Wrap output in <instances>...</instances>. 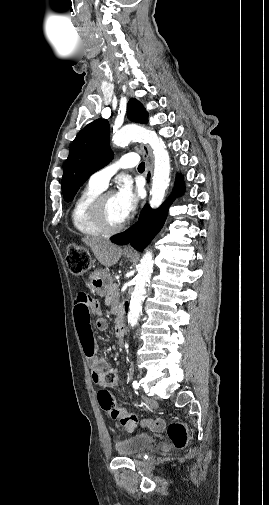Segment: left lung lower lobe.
Returning a JSON list of instances; mask_svg holds the SVG:
<instances>
[{
    "instance_id": "left-lung-lower-lobe-1",
    "label": "left lung lower lobe",
    "mask_w": 269,
    "mask_h": 505,
    "mask_svg": "<svg viewBox=\"0 0 269 505\" xmlns=\"http://www.w3.org/2000/svg\"><path fill=\"white\" fill-rule=\"evenodd\" d=\"M183 188V180L181 177H178L173 195L160 208L152 210L149 205H145L136 225H133L125 232L114 237L111 241L119 245H125L131 242L132 247L139 251H143L162 228L167 217L169 206L175 196L183 192Z\"/></svg>"
}]
</instances>
